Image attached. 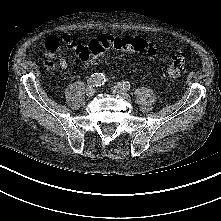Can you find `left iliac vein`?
<instances>
[{"label":"left iliac vein","instance_id":"obj_1","mask_svg":"<svg viewBox=\"0 0 221 221\" xmlns=\"http://www.w3.org/2000/svg\"><path fill=\"white\" fill-rule=\"evenodd\" d=\"M111 91H112V93L119 95L120 97H122L124 99L129 98V93L126 90H124L122 86L116 85V86L112 87Z\"/></svg>","mask_w":221,"mask_h":221}]
</instances>
